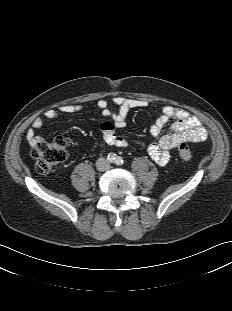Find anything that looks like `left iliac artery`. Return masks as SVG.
Masks as SVG:
<instances>
[{
  "label": "left iliac artery",
  "mask_w": 232,
  "mask_h": 311,
  "mask_svg": "<svg viewBox=\"0 0 232 311\" xmlns=\"http://www.w3.org/2000/svg\"><path fill=\"white\" fill-rule=\"evenodd\" d=\"M114 163L116 165H123L124 164V160L120 156H117V157H115Z\"/></svg>",
  "instance_id": "left-iliac-artery-1"
}]
</instances>
